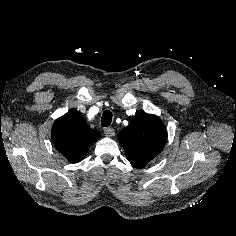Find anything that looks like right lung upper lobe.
Returning <instances> with one entry per match:
<instances>
[{
    "label": "right lung upper lobe",
    "instance_id": "cb5924a9",
    "mask_svg": "<svg viewBox=\"0 0 236 236\" xmlns=\"http://www.w3.org/2000/svg\"><path fill=\"white\" fill-rule=\"evenodd\" d=\"M51 138L55 148L69 162L77 163L100 138V134L88 126L80 112L73 110L55 120Z\"/></svg>",
    "mask_w": 236,
    "mask_h": 236
}]
</instances>
